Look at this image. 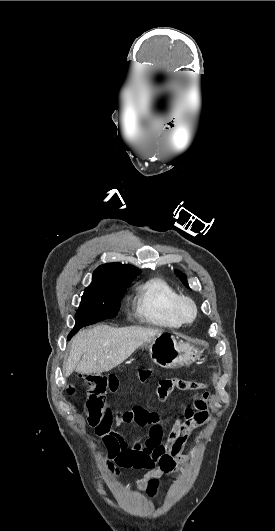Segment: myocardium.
<instances>
[{
	"label": "myocardium",
	"instance_id": "f54148a6",
	"mask_svg": "<svg viewBox=\"0 0 275 531\" xmlns=\"http://www.w3.org/2000/svg\"><path fill=\"white\" fill-rule=\"evenodd\" d=\"M182 302H188L191 304L192 308H193V315L191 318H185L181 315L180 313V305ZM171 312H172V315L174 316V318L181 324H188V323H192L196 320L197 316H198V306H197V303L196 301L188 296V295H184V294H177L173 300L171 301Z\"/></svg>",
	"mask_w": 275,
	"mask_h": 531
}]
</instances>
